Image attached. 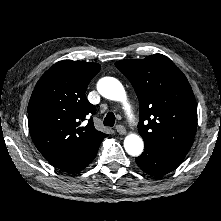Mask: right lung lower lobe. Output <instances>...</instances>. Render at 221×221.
Returning <instances> with one entry per match:
<instances>
[{
  "mask_svg": "<svg viewBox=\"0 0 221 221\" xmlns=\"http://www.w3.org/2000/svg\"><path fill=\"white\" fill-rule=\"evenodd\" d=\"M100 143L96 144L91 149L87 150L86 152L78 155L77 157L69 161H66L61 164H53V165L68 173L79 172L83 170L85 167H87L94 160V158L97 155Z\"/></svg>",
  "mask_w": 221,
  "mask_h": 221,
  "instance_id": "obj_1",
  "label": "right lung lower lobe"
}]
</instances>
